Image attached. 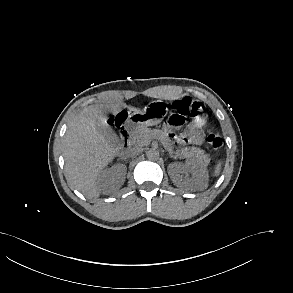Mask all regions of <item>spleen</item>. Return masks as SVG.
I'll return each instance as SVG.
<instances>
[{
  "label": "spleen",
  "instance_id": "spleen-1",
  "mask_svg": "<svg viewBox=\"0 0 293 293\" xmlns=\"http://www.w3.org/2000/svg\"><path fill=\"white\" fill-rule=\"evenodd\" d=\"M220 169H221V165L218 164V165L215 167V171H214V175H215V176H218V175H219V173H220Z\"/></svg>",
  "mask_w": 293,
  "mask_h": 293
}]
</instances>
